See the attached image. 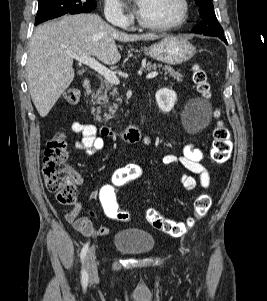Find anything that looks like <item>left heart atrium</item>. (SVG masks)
Listing matches in <instances>:
<instances>
[{"mask_svg":"<svg viewBox=\"0 0 267 301\" xmlns=\"http://www.w3.org/2000/svg\"><path fill=\"white\" fill-rule=\"evenodd\" d=\"M136 7H137V11H138V13H139L140 5H139L138 2H137V4H136Z\"/></svg>","mask_w":267,"mask_h":301,"instance_id":"1","label":"left heart atrium"}]
</instances>
